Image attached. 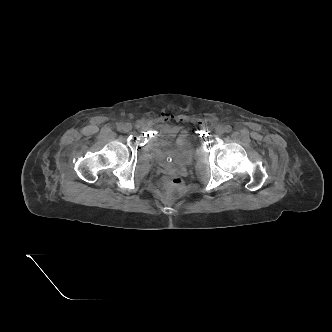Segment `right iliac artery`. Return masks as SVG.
Listing matches in <instances>:
<instances>
[{
	"label": "right iliac artery",
	"instance_id": "1",
	"mask_svg": "<svg viewBox=\"0 0 332 332\" xmlns=\"http://www.w3.org/2000/svg\"><path fill=\"white\" fill-rule=\"evenodd\" d=\"M122 128H123V124H122V123H119V124L117 125V129H118V130H122Z\"/></svg>",
	"mask_w": 332,
	"mask_h": 332
}]
</instances>
